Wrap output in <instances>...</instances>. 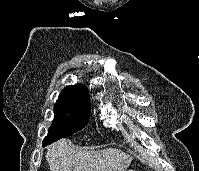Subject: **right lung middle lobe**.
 <instances>
[{"mask_svg": "<svg viewBox=\"0 0 199 171\" xmlns=\"http://www.w3.org/2000/svg\"><path fill=\"white\" fill-rule=\"evenodd\" d=\"M90 110V102L77 104L57 101L54 105V120L43 140V146L83 129L88 124Z\"/></svg>", "mask_w": 199, "mask_h": 171, "instance_id": "obj_1", "label": "right lung middle lobe"}]
</instances>
